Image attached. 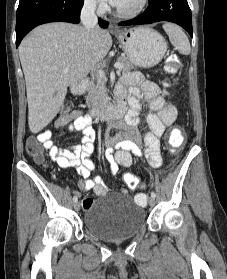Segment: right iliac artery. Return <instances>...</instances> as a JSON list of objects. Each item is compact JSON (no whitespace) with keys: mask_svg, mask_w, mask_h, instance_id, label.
<instances>
[{"mask_svg":"<svg viewBox=\"0 0 227 279\" xmlns=\"http://www.w3.org/2000/svg\"><path fill=\"white\" fill-rule=\"evenodd\" d=\"M73 201H74V202H77V201H78L77 196H74V197H73Z\"/></svg>","mask_w":227,"mask_h":279,"instance_id":"right-iliac-artery-1","label":"right iliac artery"}]
</instances>
